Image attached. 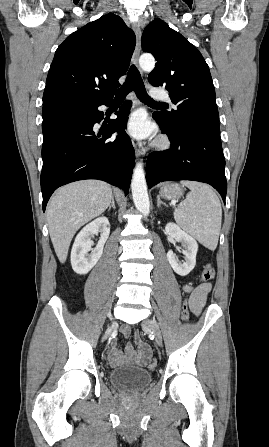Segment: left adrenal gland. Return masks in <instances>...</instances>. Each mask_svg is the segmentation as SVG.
Instances as JSON below:
<instances>
[{
  "instance_id": "left-adrenal-gland-1",
  "label": "left adrenal gland",
  "mask_w": 269,
  "mask_h": 447,
  "mask_svg": "<svg viewBox=\"0 0 269 447\" xmlns=\"http://www.w3.org/2000/svg\"><path fill=\"white\" fill-rule=\"evenodd\" d=\"M161 204H163V206H167V204H165V202H161L160 196H157V206H158V208H160Z\"/></svg>"
}]
</instances>
